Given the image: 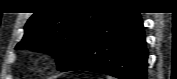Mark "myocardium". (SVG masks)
Returning a JSON list of instances; mask_svg holds the SVG:
<instances>
[{
	"instance_id": "f54148a6",
	"label": "myocardium",
	"mask_w": 177,
	"mask_h": 79,
	"mask_svg": "<svg viewBox=\"0 0 177 79\" xmlns=\"http://www.w3.org/2000/svg\"><path fill=\"white\" fill-rule=\"evenodd\" d=\"M36 63L42 68H48L52 63V54L50 52H42L38 54Z\"/></svg>"
}]
</instances>
